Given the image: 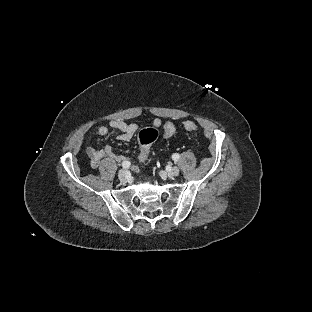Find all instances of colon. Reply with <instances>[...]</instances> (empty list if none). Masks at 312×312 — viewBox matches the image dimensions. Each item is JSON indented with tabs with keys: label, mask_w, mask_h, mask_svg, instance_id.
<instances>
[{
	"label": "colon",
	"mask_w": 312,
	"mask_h": 312,
	"mask_svg": "<svg viewBox=\"0 0 312 312\" xmlns=\"http://www.w3.org/2000/svg\"><path fill=\"white\" fill-rule=\"evenodd\" d=\"M197 125L193 121H189L185 124L184 129L186 132L191 133L195 131ZM175 130V125L173 123H167L164 125L161 134L164 137L170 136L171 132ZM157 130L154 127H149L141 131L139 135V145H140V158L146 159L149 154V148L152 142L157 138Z\"/></svg>",
	"instance_id": "obj_1"
}]
</instances>
